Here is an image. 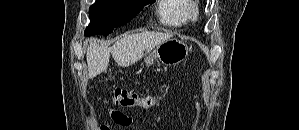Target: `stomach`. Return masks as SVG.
Here are the masks:
<instances>
[{
	"mask_svg": "<svg viewBox=\"0 0 299 130\" xmlns=\"http://www.w3.org/2000/svg\"><path fill=\"white\" fill-rule=\"evenodd\" d=\"M188 54L189 48L186 43L176 38H170L145 56L143 66L150 67L155 62H161L164 65H177L184 61Z\"/></svg>",
	"mask_w": 299,
	"mask_h": 130,
	"instance_id": "1",
	"label": "stomach"
}]
</instances>
